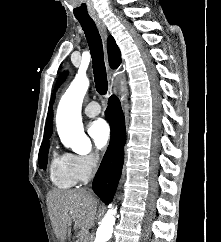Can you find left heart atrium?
I'll list each match as a JSON object with an SVG mask.
<instances>
[{
    "mask_svg": "<svg viewBox=\"0 0 221 242\" xmlns=\"http://www.w3.org/2000/svg\"><path fill=\"white\" fill-rule=\"evenodd\" d=\"M89 135L98 148H103L110 139L109 125L103 119H98L90 125Z\"/></svg>",
    "mask_w": 221,
    "mask_h": 242,
    "instance_id": "obj_1",
    "label": "left heart atrium"
}]
</instances>
